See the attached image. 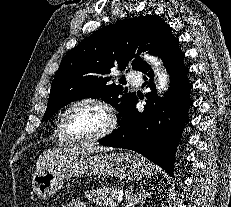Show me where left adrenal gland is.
<instances>
[{"label": "left adrenal gland", "instance_id": "obj_1", "mask_svg": "<svg viewBox=\"0 0 231 207\" xmlns=\"http://www.w3.org/2000/svg\"><path fill=\"white\" fill-rule=\"evenodd\" d=\"M126 199L125 202L122 203L125 207H130L133 204L137 203L142 197L147 195L145 189H141L139 192L134 193L132 187H130L126 192Z\"/></svg>", "mask_w": 231, "mask_h": 207}]
</instances>
